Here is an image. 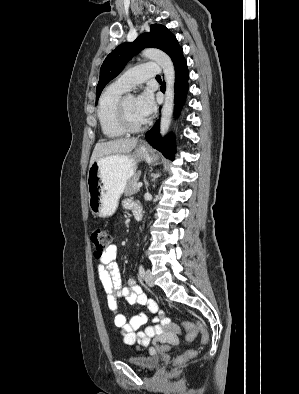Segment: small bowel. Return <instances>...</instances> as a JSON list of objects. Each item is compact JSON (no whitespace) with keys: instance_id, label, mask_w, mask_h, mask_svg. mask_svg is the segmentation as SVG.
I'll use <instances>...</instances> for the list:
<instances>
[{"instance_id":"small-bowel-1","label":"small bowel","mask_w":299,"mask_h":394,"mask_svg":"<svg viewBox=\"0 0 299 394\" xmlns=\"http://www.w3.org/2000/svg\"><path fill=\"white\" fill-rule=\"evenodd\" d=\"M123 205L127 209L135 212L138 207L130 200H125ZM117 247L111 245L107 252L100 258L97 266V272L105 292L108 294L107 304L111 311L117 312L118 301L121 297L126 300L129 305H139L145 307L153 316L152 324L147 325L148 316L146 312L141 311L130 317L122 313H116L114 317V325L119 328L126 345H139L147 347L170 345L175 346L179 343L181 328L173 323L164 312L160 309L157 302L149 297L143 289L138 285L134 278H130L123 285L115 263ZM143 327L142 330H140ZM151 352L154 348L151 347Z\"/></svg>"}]
</instances>
